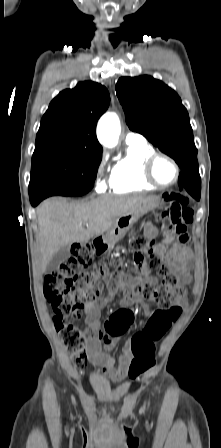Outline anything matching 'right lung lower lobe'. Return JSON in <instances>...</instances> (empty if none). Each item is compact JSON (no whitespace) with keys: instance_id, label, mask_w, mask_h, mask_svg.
<instances>
[{"instance_id":"1","label":"right lung lower lobe","mask_w":221,"mask_h":448,"mask_svg":"<svg viewBox=\"0 0 221 448\" xmlns=\"http://www.w3.org/2000/svg\"><path fill=\"white\" fill-rule=\"evenodd\" d=\"M53 195H63V194H61L60 191L49 187L29 188V197L32 206H37L43 199Z\"/></svg>"}]
</instances>
